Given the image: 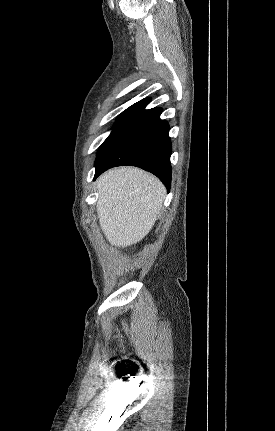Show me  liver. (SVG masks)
<instances>
[{"mask_svg": "<svg viewBox=\"0 0 275 431\" xmlns=\"http://www.w3.org/2000/svg\"><path fill=\"white\" fill-rule=\"evenodd\" d=\"M97 191L100 227L111 245L123 248L150 232L166 196L157 177L134 167L105 172L97 180Z\"/></svg>", "mask_w": 275, "mask_h": 431, "instance_id": "obj_1", "label": "liver"}]
</instances>
